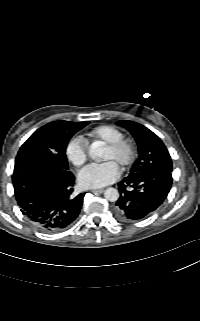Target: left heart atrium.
<instances>
[{
    "label": "left heart atrium",
    "mask_w": 200,
    "mask_h": 321,
    "mask_svg": "<svg viewBox=\"0 0 200 321\" xmlns=\"http://www.w3.org/2000/svg\"><path fill=\"white\" fill-rule=\"evenodd\" d=\"M119 177L118 166L111 160L102 163H91L78 174L81 186L99 188L113 183Z\"/></svg>",
    "instance_id": "left-heart-atrium-1"
}]
</instances>
